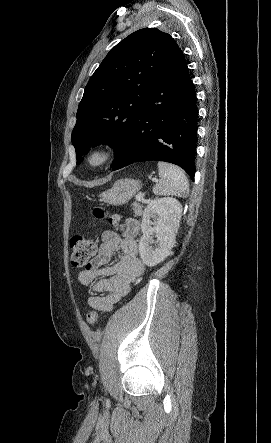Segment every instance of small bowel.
Instances as JSON below:
<instances>
[{"mask_svg":"<svg viewBox=\"0 0 271 443\" xmlns=\"http://www.w3.org/2000/svg\"><path fill=\"white\" fill-rule=\"evenodd\" d=\"M137 232L138 223L134 220L128 222L123 235L112 230L105 231L96 256L79 272L80 284L92 285L95 293L88 300L91 309L111 311L142 274L144 266L139 259L135 241ZM115 255L118 261L109 265Z\"/></svg>","mask_w":271,"mask_h":443,"instance_id":"1","label":"small bowel"}]
</instances>
